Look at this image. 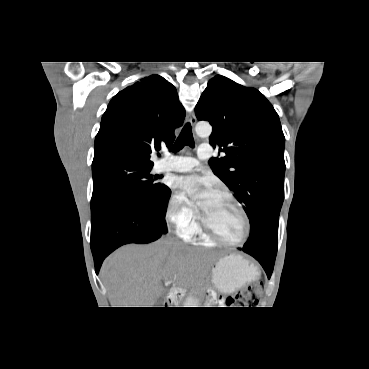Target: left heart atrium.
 Instances as JSON below:
<instances>
[{
	"label": "left heart atrium",
	"instance_id": "obj_1",
	"mask_svg": "<svg viewBox=\"0 0 369 369\" xmlns=\"http://www.w3.org/2000/svg\"><path fill=\"white\" fill-rule=\"evenodd\" d=\"M175 188L183 194H191L201 190L202 199L205 200L215 194L211 182L197 175L183 176L175 180Z\"/></svg>",
	"mask_w": 369,
	"mask_h": 369
}]
</instances>
